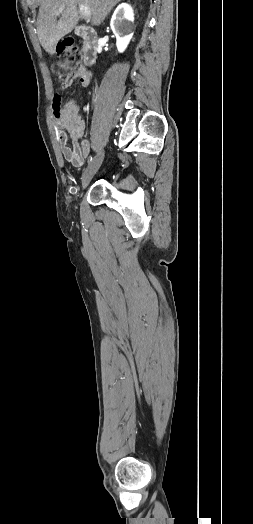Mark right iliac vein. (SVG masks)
Here are the masks:
<instances>
[{
    "label": "right iliac vein",
    "instance_id": "63e3f726",
    "mask_svg": "<svg viewBox=\"0 0 253 524\" xmlns=\"http://www.w3.org/2000/svg\"><path fill=\"white\" fill-rule=\"evenodd\" d=\"M103 158H104V152L100 151L94 157L92 162L89 164V166L87 167V169L83 173V176H82V187H83V189H85L89 185V183L92 180L93 176L96 174V172L98 171L99 167L101 166Z\"/></svg>",
    "mask_w": 253,
    "mask_h": 524
}]
</instances>
